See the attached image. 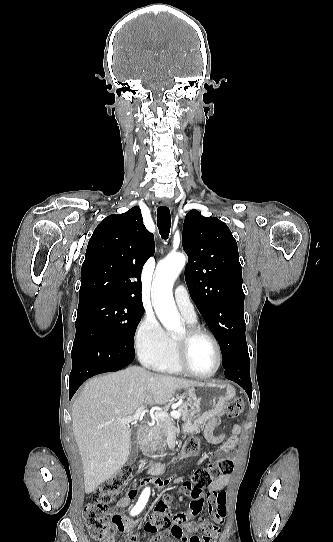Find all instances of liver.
I'll use <instances>...</instances> for the list:
<instances>
[{"mask_svg":"<svg viewBox=\"0 0 333 542\" xmlns=\"http://www.w3.org/2000/svg\"><path fill=\"white\" fill-rule=\"evenodd\" d=\"M197 384L152 374L138 366L89 380L72 406V430L81 454L85 494L95 492L128 460L131 430L117 420L133 416L142 406L167 404L176 390Z\"/></svg>","mask_w":333,"mask_h":542,"instance_id":"1","label":"liver"}]
</instances>
